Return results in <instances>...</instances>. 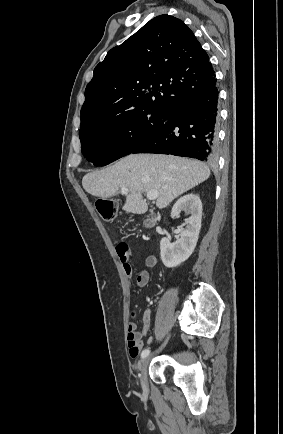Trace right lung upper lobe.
Here are the masks:
<instances>
[{"mask_svg": "<svg viewBox=\"0 0 283 434\" xmlns=\"http://www.w3.org/2000/svg\"><path fill=\"white\" fill-rule=\"evenodd\" d=\"M215 84L209 56L188 26L157 16L95 67L80 130L135 109L167 111Z\"/></svg>", "mask_w": 283, "mask_h": 434, "instance_id": "cb5924a9", "label": "right lung upper lobe"}]
</instances>
